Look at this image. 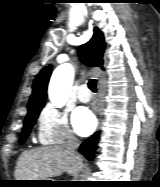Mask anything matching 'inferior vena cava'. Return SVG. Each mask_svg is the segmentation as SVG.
<instances>
[{
	"label": "inferior vena cava",
	"mask_w": 160,
	"mask_h": 187,
	"mask_svg": "<svg viewBox=\"0 0 160 187\" xmlns=\"http://www.w3.org/2000/svg\"><path fill=\"white\" fill-rule=\"evenodd\" d=\"M78 147H79L78 140L73 135H70L68 137L67 142L65 143V149L67 150V152L70 155H72L74 157V159L77 162H80V157H79L78 153L76 152Z\"/></svg>",
	"instance_id": "inferior-vena-cava-1"
}]
</instances>
